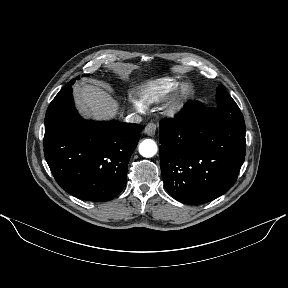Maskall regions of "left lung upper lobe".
<instances>
[{"label": "left lung upper lobe", "mask_w": 288, "mask_h": 288, "mask_svg": "<svg viewBox=\"0 0 288 288\" xmlns=\"http://www.w3.org/2000/svg\"><path fill=\"white\" fill-rule=\"evenodd\" d=\"M217 104L216 108H208L211 117L245 128L244 118L238 105L223 85H220L217 89Z\"/></svg>", "instance_id": "obj_1"}]
</instances>
